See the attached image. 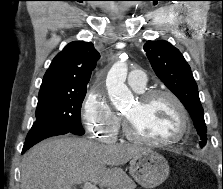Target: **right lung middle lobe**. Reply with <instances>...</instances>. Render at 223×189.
Segmentation results:
<instances>
[{"label":"right lung middle lobe","instance_id":"obj_1","mask_svg":"<svg viewBox=\"0 0 223 189\" xmlns=\"http://www.w3.org/2000/svg\"><path fill=\"white\" fill-rule=\"evenodd\" d=\"M86 91L39 93L32 127H60L75 135H83L80 110Z\"/></svg>","mask_w":223,"mask_h":189}]
</instances>
